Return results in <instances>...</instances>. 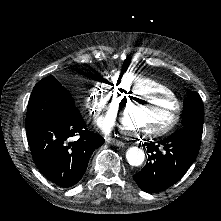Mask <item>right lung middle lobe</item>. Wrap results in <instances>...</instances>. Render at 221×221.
<instances>
[{
    "label": "right lung middle lobe",
    "instance_id": "1",
    "mask_svg": "<svg viewBox=\"0 0 221 221\" xmlns=\"http://www.w3.org/2000/svg\"><path fill=\"white\" fill-rule=\"evenodd\" d=\"M79 115L71 94L50 75L33 88L28 103L26 130L40 123L70 120Z\"/></svg>",
    "mask_w": 221,
    "mask_h": 221
}]
</instances>
